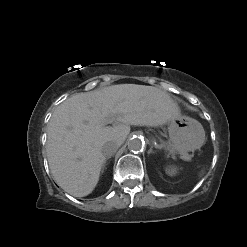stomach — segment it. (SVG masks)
I'll return each instance as SVG.
<instances>
[{"mask_svg": "<svg viewBox=\"0 0 247 247\" xmlns=\"http://www.w3.org/2000/svg\"><path fill=\"white\" fill-rule=\"evenodd\" d=\"M169 143L161 144L169 151L185 154L199 149L205 142V131L197 120L178 112L168 123Z\"/></svg>", "mask_w": 247, "mask_h": 247, "instance_id": "stomach-1", "label": "stomach"}]
</instances>
